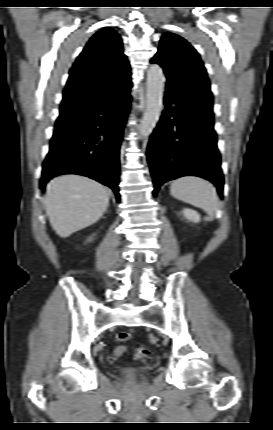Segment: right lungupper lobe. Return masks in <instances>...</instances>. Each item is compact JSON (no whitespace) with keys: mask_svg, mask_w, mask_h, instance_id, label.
I'll return each instance as SVG.
<instances>
[{"mask_svg":"<svg viewBox=\"0 0 273 430\" xmlns=\"http://www.w3.org/2000/svg\"><path fill=\"white\" fill-rule=\"evenodd\" d=\"M130 65L120 36L103 28L90 38L69 72L61 111L81 112L107 87L131 85Z\"/></svg>","mask_w":273,"mask_h":430,"instance_id":"cb5924a9","label":"right lung upper lobe"}]
</instances>
